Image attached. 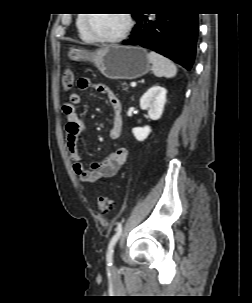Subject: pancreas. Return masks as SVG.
Here are the masks:
<instances>
[{
	"mask_svg": "<svg viewBox=\"0 0 252 303\" xmlns=\"http://www.w3.org/2000/svg\"><path fill=\"white\" fill-rule=\"evenodd\" d=\"M122 87H123V90H127V87H126L125 83L122 84Z\"/></svg>",
	"mask_w": 252,
	"mask_h": 303,
	"instance_id": "1",
	"label": "pancreas"
}]
</instances>
